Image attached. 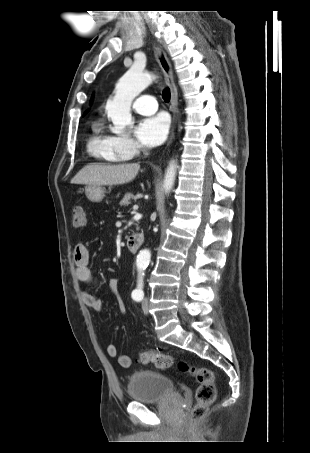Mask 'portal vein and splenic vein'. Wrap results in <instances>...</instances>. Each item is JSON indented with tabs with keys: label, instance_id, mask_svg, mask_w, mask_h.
Listing matches in <instances>:
<instances>
[{
	"label": "portal vein and splenic vein",
	"instance_id": "18ae733b",
	"mask_svg": "<svg viewBox=\"0 0 310 453\" xmlns=\"http://www.w3.org/2000/svg\"><path fill=\"white\" fill-rule=\"evenodd\" d=\"M133 209H134V210H137V209H138V206H137V205H134V206H133Z\"/></svg>",
	"mask_w": 310,
	"mask_h": 453
}]
</instances>
